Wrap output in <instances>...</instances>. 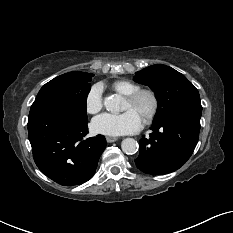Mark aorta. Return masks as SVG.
<instances>
[{
    "mask_svg": "<svg viewBox=\"0 0 233 233\" xmlns=\"http://www.w3.org/2000/svg\"><path fill=\"white\" fill-rule=\"evenodd\" d=\"M122 99L118 95H111L104 99L105 108L113 113L119 112ZM122 151L126 154H135L138 151V143L133 138H126L121 143Z\"/></svg>",
    "mask_w": 233,
    "mask_h": 233,
    "instance_id": "aorta-1",
    "label": "aorta"
}]
</instances>
